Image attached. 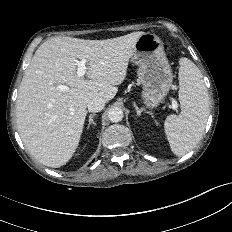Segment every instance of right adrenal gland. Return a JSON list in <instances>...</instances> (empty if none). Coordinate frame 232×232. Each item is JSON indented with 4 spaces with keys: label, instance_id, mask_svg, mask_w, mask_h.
I'll return each mask as SVG.
<instances>
[{
    "label": "right adrenal gland",
    "instance_id": "2a0ac1e0",
    "mask_svg": "<svg viewBox=\"0 0 232 232\" xmlns=\"http://www.w3.org/2000/svg\"><path fill=\"white\" fill-rule=\"evenodd\" d=\"M94 116H96V114H90L89 115V120H88L89 123H88V126H87L88 130H89L91 124H93L94 126L96 125L95 122L93 121Z\"/></svg>",
    "mask_w": 232,
    "mask_h": 232
}]
</instances>
